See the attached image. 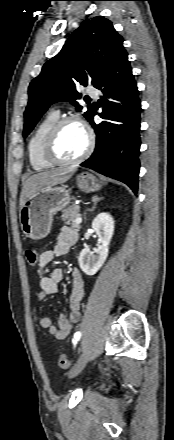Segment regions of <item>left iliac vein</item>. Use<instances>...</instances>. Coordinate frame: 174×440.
<instances>
[{
  "mask_svg": "<svg viewBox=\"0 0 174 440\" xmlns=\"http://www.w3.org/2000/svg\"><path fill=\"white\" fill-rule=\"evenodd\" d=\"M88 359H89V351L86 350L81 354L76 364L70 370V372L68 373V377L69 378L76 377L84 369V367L88 362Z\"/></svg>",
  "mask_w": 174,
  "mask_h": 440,
  "instance_id": "1",
  "label": "left iliac vein"
}]
</instances>
